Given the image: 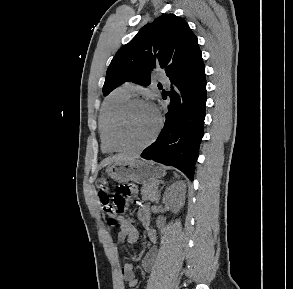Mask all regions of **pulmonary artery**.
Segmentation results:
<instances>
[{"mask_svg":"<svg viewBox=\"0 0 293 289\" xmlns=\"http://www.w3.org/2000/svg\"><path fill=\"white\" fill-rule=\"evenodd\" d=\"M163 83H165V84H169L170 83V81L168 80V79H165V78H161L160 79ZM124 88L128 91V92H133L134 90H135V88H136V86H135V84H133V83H126L125 85H124Z\"/></svg>","mask_w":293,"mask_h":289,"instance_id":"1","label":"pulmonary artery"}]
</instances>
